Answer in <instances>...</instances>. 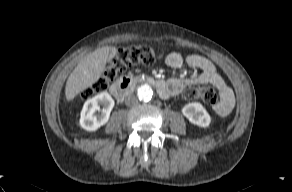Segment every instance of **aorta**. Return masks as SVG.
<instances>
[{
  "mask_svg": "<svg viewBox=\"0 0 292 192\" xmlns=\"http://www.w3.org/2000/svg\"><path fill=\"white\" fill-rule=\"evenodd\" d=\"M137 96L143 102H148L153 96V90L150 85L144 84L137 89Z\"/></svg>",
  "mask_w": 292,
  "mask_h": 192,
  "instance_id": "762f6f07",
  "label": "aorta"
}]
</instances>
